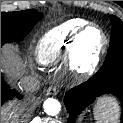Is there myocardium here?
Wrapping results in <instances>:
<instances>
[{
  "label": "myocardium",
  "mask_w": 123,
  "mask_h": 123,
  "mask_svg": "<svg viewBox=\"0 0 123 123\" xmlns=\"http://www.w3.org/2000/svg\"><path fill=\"white\" fill-rule=\"evenodd\" d=\"M91 28H95L99 31L102 36V43L93 57L90 60H85L82 53L78 50V44L81 38ZM108 43V35L99 25L95 23L85 25L82 30L76 35L71 47V57L69 63L74 73L82 77L91 75L98 67L100 60L107 49Z\"/></svg>",
  "instance_id": "1"
}]
</instances>
